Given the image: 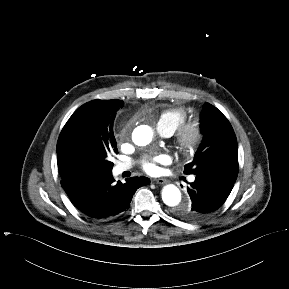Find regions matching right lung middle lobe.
<instances>
[{
    "label": "right lung middle lobe",
    "mask_w": 289,
    "mask_h": 289,
    "mask_svg": "<svg viewBox=\"0 0 289 289\" xmlns=\"http://www.w3.org/2000/svg\"><path fill=\"white\" fill-rule=\"evenodd\" d=\"M123 105L120 100H93L79 107L59 136L58 163L87 179L111 175L109 156L118 153L113 123Z\"/></svg>",
    "instance_id": "right-lung-middle-lobe-1"
}]
</instances>
